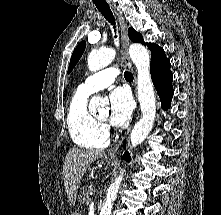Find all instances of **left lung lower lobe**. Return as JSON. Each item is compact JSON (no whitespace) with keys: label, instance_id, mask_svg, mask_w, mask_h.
<instances>
[{"label":"left lung lower lobe","instance_id":"left-lung-lower-lobe-1","mask_svg":"<svg viewBox=\"0 0 221 215\" xmlns=\"http://www.w3.org/2000/svg\"><path fill=\"white\" fill-rule=\"evenodd\" d=\"M150 72L153 84L160 97L162 108L167 110L174 94L172 87L173 75L170 70V61L166 57L163 48L159 46L151 53ZM123 159L130 160L128 153L123 155Z\"/></svg>","mask_w":221,"mask_h":215}]
</instances>
